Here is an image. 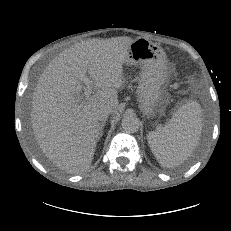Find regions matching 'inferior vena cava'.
Masks as SVG:
<instances>
[{"instance_id":"602c4592","label":"inferior vena cava","mask_w":231,"mask_h":231,"mask_svg":"<svg viewBox=\"0 0 231 231\" xmlns=\"http://www.w3.org/2000/svg\"><path fill=\"white\" fill-rule=\"evenodd\" d=\"M110 113H111L110 108H108V107H103V108H101V109L98 111V113H97V119H98L99 121H101V122H105V121L108 119Z\"/></svg>"}]
</instances>
